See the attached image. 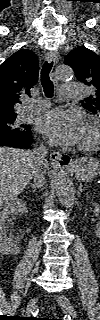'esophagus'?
<instances>
[{
	"mask_svg": "<svg viewBox=\"0 0 100 320\" xmlns=\"http://www.w3.org/2000/svg\"><path fill=\"white\" fill-rule=\"evenodd\" d=\"M59 59V55L57 52H49L46 54L45 61L57 63ZM50 162L52 166L58 168H65L68 167L71 162L72 158L68 154H62L58 151H52L50 153Z\"/></svg>",
	"mask_w": 100,
	"mask_h": 320,
	"instance_id": "obj_1",
	"label": "esophagus"
}]
</instances>
